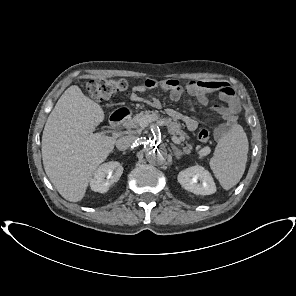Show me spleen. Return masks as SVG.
<instances>
[{"instance_id":"3e777b00","label":"spleen","mask_w":296,"mask_h":296,"mask_svg":"<svg viewBox=\"0 0 296 296\" xmlns=\"http://www.w3.org/2000/svg\"><path fill=\"white\" fill-rule=\"evenodd\" d=\"M248 139L243 128L233 127L219 141L209 165L221 186L229 190L242 178L247 162Z\"/></svg>"}]
</instances>
